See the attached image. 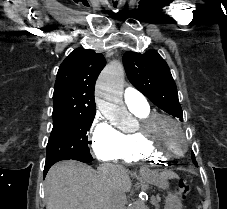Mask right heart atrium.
Returning <instances> with one entry per match:
<instances>
[{"label":"right heart atrium","instance_id":"d8ad5b80","mask_svg":"<svg viewBox=\"0 0 227 209\" xmlns=\"http://www.w3.org/2000/svg\"><path fill=\"white\" fill-rule=\"evenodd\" d=\"M92 151L102 161L115 160L122 146V132L104 118H97L90 135Z\"/></svg>","mask_w":227,"mask_h":209}]
</instances>
